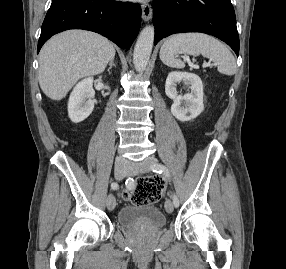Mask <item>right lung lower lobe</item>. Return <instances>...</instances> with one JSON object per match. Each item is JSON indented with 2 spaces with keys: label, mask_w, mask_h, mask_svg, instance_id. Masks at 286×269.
<instances>
[{
  "label": "right lung lower lobe",
  "mask_w": 286,
  "mask_h": 269,
  "mask_svg": "<svg viewBox=\"0 0 286 269\" xmlns=\"http://www.w3.org/2000/svg\"><path fill=\"white\" fill-rule=\"evenodd\" d=\"M141 25L139 4L114 0H53L41 28L37 52L54 34L85 29L128 50Z\"/></svg>",
  "instance_id": "1"
}]
</instances>
